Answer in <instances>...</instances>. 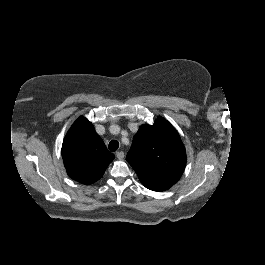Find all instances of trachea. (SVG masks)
Returning <instances> with one entry per match:
<instances>
[{"label":"trachea","mask_w":265,"mask_h":265,"mask_svg":"<svg viewBox=\"0 0 265 265\" xmlns=\"http://www.w3.org/2000/svg\"><path fill=\"white\" fill-rule=\"evenodd\" d=\"M119 147V142L116 140H112L109 145L108 148L110 151L115 152Z\"/></svg>","instance_id":"trachea-1"}]
</instances>
